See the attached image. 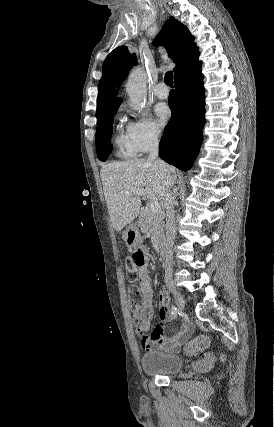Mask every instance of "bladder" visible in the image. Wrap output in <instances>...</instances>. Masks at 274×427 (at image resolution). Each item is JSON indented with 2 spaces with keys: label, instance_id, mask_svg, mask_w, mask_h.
Here are the masks:
<instances>
[{
  "label": "bladder",
  "instance_id": "1",
  "mask_svg": "<svg viewBox=\"0 0 274 427\" xmlns=\"http://www.w3.org/2000/svg\"><path fill=\"white\" fill-rule=\"evenodd\" d=\"M141 366L146 375H173L181 372L184 364L179 354L147 352L141 357Z\"/></svg>",
  "mask_w": 274,
  "mask_h": 427
}]
</instances>
